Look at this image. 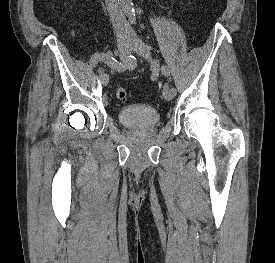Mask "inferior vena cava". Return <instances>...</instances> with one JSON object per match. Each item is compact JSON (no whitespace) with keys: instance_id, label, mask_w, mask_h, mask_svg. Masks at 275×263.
<instances>
[{"instance_id":"602c4592","label":"inferior vena cava","mask_w":275,"mask_h":263,"mask_svg":"<svg viewBox=\"0 0 275 263\" xmlns=\"http://www.w3.org/2000/svg\"><path fill=\"white\" fill-rule=\"evenodd\" d=\"M108 13L117 34L129 33L132 31L131 26L120 7L119 0H105Z\"/></svg>"}]
</instances>
